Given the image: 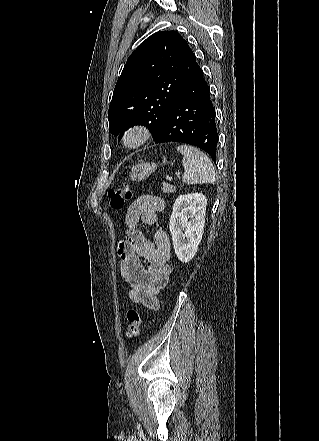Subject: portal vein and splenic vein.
<instances>
[{"instance_id":"18ae733b","label":"portal vein and splenic vein","mask_w":319,"mask_h":441,"mask_svg":"<svg viewBox=\"0 0 319 441\" xmlns=\"http://www.w3.org/2000/svg\"><path fill=\"white\" fill-rule=\"evenodd\" d=\"M177 175L179 176V175H180V173L178 172V173H177Z\"/></svg>"}]
</instances>
